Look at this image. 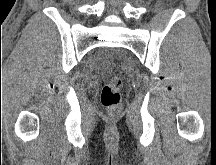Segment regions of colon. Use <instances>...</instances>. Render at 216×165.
I'll return each mask as SVG.
<instances>
[{"instance_id": "colon-1", "label": "colon", "mask_w": 216, "mask_h": 165, "mask_svg": "<svg viewBox=\"0 0 216 165\" xmlns=\"http://www.w3.org/2000/svg\"><path fill=\"white\" fill-rule=\"evenodd\" d=\"M122 86V79L118 76H114L102 88L101 103L110 115H115L120 110Z\"/></svg>"}]
</instances>
